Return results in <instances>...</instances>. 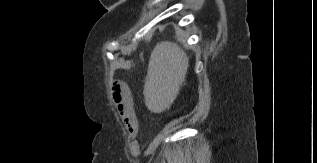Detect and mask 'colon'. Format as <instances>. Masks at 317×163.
<instances>
[{
	"instance_id": "obj_1",
	"label": "colon",
	"mask_w": 317,
	"mask_h": 163,
	"mask_svg": "<svg viewBox=\"0 0 317 163\" xmlns=\"http://www.w3.org/2000/svg\"><path fill=\"white\" fill-rule=\"evenodd\" d=\"M113 95L115 101L127 102L129 99L128 87L122 83H115L113 86Z\"/></svg>"
}]
</instances>
